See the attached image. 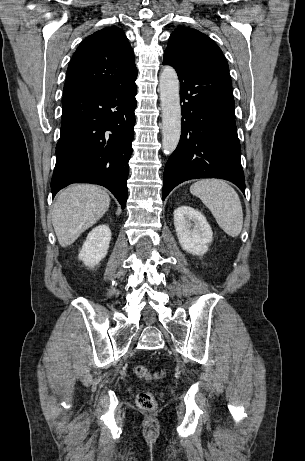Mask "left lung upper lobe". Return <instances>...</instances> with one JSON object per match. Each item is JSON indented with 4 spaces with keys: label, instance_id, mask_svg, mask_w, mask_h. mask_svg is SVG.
<instances>
[{
    "label": "left lung upper lobe",
    "instance_id": "left-lung-upper-lobe-1",
    "mask_svg": "<svg viewBox=\"0 0 305 461\" xmlns=\"http://www.w3.org/2000/svg\"><path fill=\"white\" fill-rule=\"evenodd\" d=\"M164 62L187 71L223 69L229 71L221 49L207 35L188 27H178L170 36Z\"/></svg>",
    "mask_w": 305,
    "mask_h": 461
}]
</instances>
